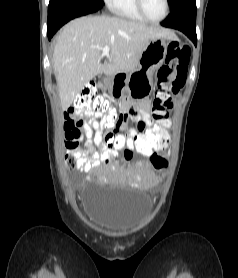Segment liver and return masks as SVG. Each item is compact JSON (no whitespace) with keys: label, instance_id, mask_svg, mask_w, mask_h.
I'll use <instances>...</instances> for the list:
<instances>
[{"label":"liver","instance_id":"obj_1","mask_svg":"<svg viewBox=\"0 0 238 278\" xmlns=\"http://www.w3.org/2000/svg\"><path fill=\"white\" fill-rule=\"evenodd\" d=\"M157 38L173 39L166 29L107 16H85L64 26L56 39L53 66L61 107L66 110L98 74L129 73L139 63L148 43ZM108 45V60L101 63Z\"/></svg>","mask_w":238,"mask_h":278}]
</instances>
